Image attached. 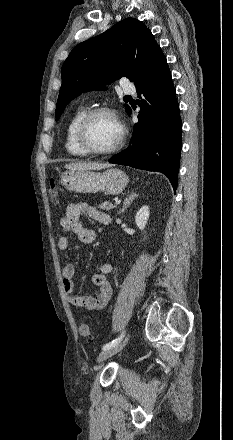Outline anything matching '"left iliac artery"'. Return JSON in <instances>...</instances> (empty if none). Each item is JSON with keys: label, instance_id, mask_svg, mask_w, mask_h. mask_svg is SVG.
<instances>
[{"label": "left iliac artery", "instance_id": "obj_1", "mask_svg": "<svg viewBox=\"0 0 233 440\" xmlns=\"http://www.w3.org/2000/svg\"><path fill=\"white\" fill-rule=\"evenodd\" d=\"M123 337H124V332H123V333H122L117 339H115V340H113V341H111V342L105 344V345L103 346L102 349H103V350H106V349H109V348H111V347L116 346L118 343L121 342V340L123 339Z\"/></svg>", "mask_w": 233, "mask_h": 440}]
</instances>
